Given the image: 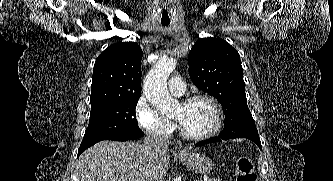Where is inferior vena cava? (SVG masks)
Returning <instances> with one entry per match:
<instances>
[{
    "label": "inferior vena cava",
    "mask_w": 333,
    "mask_h": 181,
    "mask_svg": "<svg viewBox=\"0 0 333 181\" xmlns=\"http://www.w3.org/2000/svg\"><path fill=\"white\" fill-rule=\"evenodd\" d=\"M144 143L145 147L154 158H156L159 153L166 150L168 147L167 140L163 136H159L156 133L147 134ZM148 181H163V177L159 174L158 170H154L149 176Z\"/></svg>",
    "instance_id": "inferior-vena-cava-1"
}]
</instances>
